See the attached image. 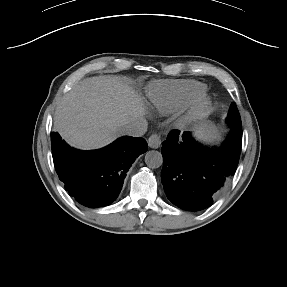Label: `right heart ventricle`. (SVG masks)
<instances>
[{
    "label": "right heart ventricle",
    "mask_w": 287,
    "mask_h": 287,
    "mask_svg": "<svg viewBox=\"0 0 287 287\" xmlns=\"http://www.w3.org/2000/svg\"><path fill=\"white\" fill-rule=\"evenodd\" d=\"M205 90V85L195 80H164L149 84L147 96L152 108L160 113H172Z\"/></svg>",
    "instance_id": "obj_1"
}]
</instances>
